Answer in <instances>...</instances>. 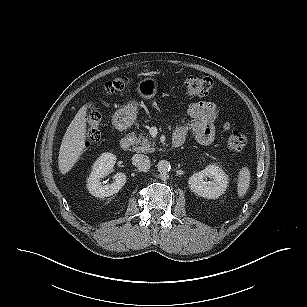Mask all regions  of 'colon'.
Listing matches in <instances>:
<instances>
[{"instance_id": "5ec220e1", "label": "colon", "mask_w": 307, "mask_h": 307, "mask_svg": "<svg viewBox=\"0 0 307 307\" xmlns=\"http://www.w3.org/2000/svg\"><path fill=\"white\" fill-rule=\"evenodd\" d=\"M183 85L185 91L190 96L206 97L213 89V81L209 77H200L196 75H185L183 77ZM126 86V81L116 79L110 81L108 84V91L110 93H119ZM86 121V143L97 142L100 138V115L95 110H90L85 117ZM225 129L229 132L227 143L231 150L239 152L242 151L246 144V136L238 129H232L230 122H226Z\"/></svg>"}]
</instances>
